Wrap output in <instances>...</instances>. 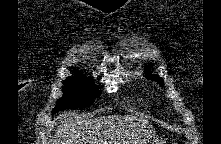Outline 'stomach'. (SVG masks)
Here are the masks:
<instances>
[{"instance_id":"obj_1","label":"stomach","mask_w":221,"mask_h":144,"mask_svg":"<svg viewBox=\"0 0 221 144\" xmlns=\"http://www.w3.org/2000/svg\"><path fill=\"white\" fill-rule=\"evenodd\" d=\"M139 144H163V142L155 135H152L150 137L142 139Z\"/></svg>"}]
</instances>
